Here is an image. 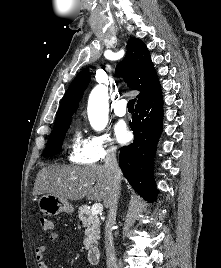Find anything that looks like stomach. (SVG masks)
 Instances as JSON below:
<instances>
[{
  "label": "stomach",
  "mask_w": 221,
  "mask_h": 268,
  "mask_svg": "<svg viewBox=\"0 0 221 268\" xmlns=\"http://www.w3.org/2000/svg\"><path fill=\"white\" fill-rule=\"evenodd\" d=\"M38 207L40 211L47 216H55L62 212L72 213L73 206L68 200L53 194H44L38 199Z\"/></svg>",
  "instance_id": "0dacf381"
}]
</instances>
